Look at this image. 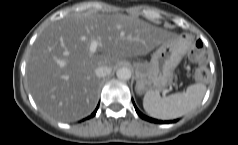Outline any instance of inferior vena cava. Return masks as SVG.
<instances>
[{
	"label": "inferior vena cava",
	"mask_w": 238,
	"mask_h": 145,
	"mask_svg": "<svg viewBox=\"0 0 238 145\" xmlns=\"http://www.w3.org/2000/svg\"><path fill=\"white\" fill-rule=\"evenodd\" d=\"M112 69L108 66H99L95 69V74L97 77H105L109 74H111Z\"/></svg>",
	"instance_id": "inferior-vena-cava-1"
}]
</instances>
